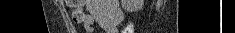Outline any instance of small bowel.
<instances>
[{
  "instance_id": "c3829d8e",
  "label": "small bowel",
  "mask_w": 235,
  "mask_h": 33,
  "mask_svg": "<svg viewBox=\"0 0 235 33\" xmlns=\"http://www.w3.org/2000/svg\"><path fill=\"white\" fill-rule=\"evenodd\" d=\"M86 11L82 23L87 33H93L96 24L105 33H118L123 14L117 0H88Z\"/></svg>"
}]
</instances>
